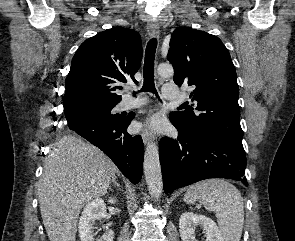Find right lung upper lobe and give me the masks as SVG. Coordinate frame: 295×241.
<instances>
[{
	"mask_svg": "<svg viewBox=\"0 0 295 241\" xmlns=\"http://www.w3.org/2000/svg\"><path fill=\"white\" fill-rule=\"evenodd\" d=\"M141 59V38L134 30L114 27L85 40L65 81L64 112L117 104V85L129 79L136 82Z\"/></svg>",
	"mask_w": 295,
	"mask_h": 241,
	"instance_id": "1",
	"label": "right lung upper lobe"
}]
</instances>
